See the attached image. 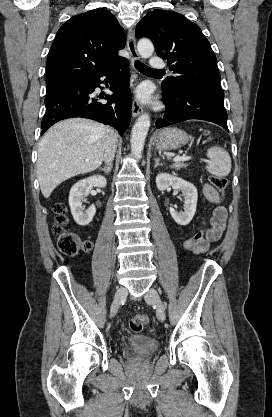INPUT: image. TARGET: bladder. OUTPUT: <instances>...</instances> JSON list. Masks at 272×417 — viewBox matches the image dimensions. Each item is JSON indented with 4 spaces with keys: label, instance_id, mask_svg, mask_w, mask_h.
I'll use <instances>...</instances> for the list:
<instances>
[{
    "label": "bladder",
    "instance_id": "1",
    "mask_svg": "<svg viewBox=\"0 0 272 417\" xmlns=\"http://www.w3.org/2000/svg\"><path fill=\"white\" fill-rule=\"evenodd\" d=\"M124 344L144 356L152 355L159 348V341L156 338L139 334L128 336Z\"/></svg>",
    "mask_w": 272,
    "mask_h": 417
}]
</instances>
